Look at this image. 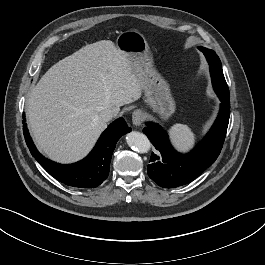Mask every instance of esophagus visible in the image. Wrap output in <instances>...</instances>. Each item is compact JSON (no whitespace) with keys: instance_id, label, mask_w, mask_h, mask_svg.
Here are the masks:
<instances>
[{"instance_id":"obj_1","label":"esophagus","mask_w":265,"mask_h":265,"mask_svg":"<svg viewBox=\"0 0 265 265\" xmlns=\"http://www.w3.org/2000/svg\"><path fill=\"white\" fill-rule=\"evenodd\" d=\"M143 119H144V115L141 110H135L132 113V123L135 126H139L143 122Z\"/></svg>"}]
</instances>
